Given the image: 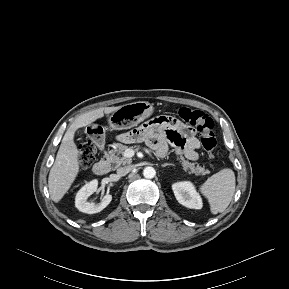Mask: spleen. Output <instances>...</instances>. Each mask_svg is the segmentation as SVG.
I'll return each instance as SVG.
<instances>
[{"mask_svg":"<svg viewBox=\"0 0 289 289\" xmlns=\"http://www.w3.org/2000/svg\"><path fill=\"white\" fill-rule=\"evenodd\" d=\"M235 182L233 170L224 168L200 186V192L207 198L212 214L221 213L228 207L235 192Z\"/></svg>","mask_w":289,"mask_h":289,"instance_id":"spleen-1","label":"spleen"}]
</instances>
